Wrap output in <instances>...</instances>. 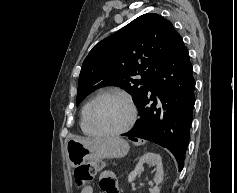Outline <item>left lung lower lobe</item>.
<instances>
[{
    "label": "left lung lower lobe",
    "instance_id": "left-lung-lower-lobe-1",
    "mask_svg": "<svg viewBox=\"0 0 237 193\" xmlns=\"http://www.w3.org/2000/svg\"><path fill=\"white\" fill-rule=\"evenodd\" d=\"M195 80L183 40L165 60L139 104L136 126L123 136L142 138L170 150L184 166L192 122ZM152 101V104L149 102Z\"/></svg>",
    "mask_w": 237,
    "mask_h": 193
}]
</instances>
